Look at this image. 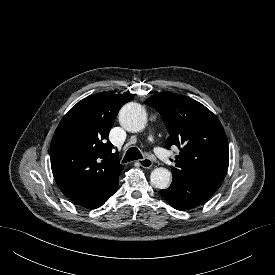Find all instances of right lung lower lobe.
Instances as JSON below:
<instances>
[{"label": "right lung lower lobe", "instance_id": "98d812e1", "mask_svg": "<svg viewBox=\"0 0 275 275\" xmlns=\"http://www.w3.org/2000/svg\"><path fill=\"white\" fill-rule=\"evenodd\" d=\"M118 177L108 186H104L87 193L72 196L70 197V199L82 207L96 209L102 206L106 202V200L117 191Z\"/></svg>", "mask_w": 275, "mask_h": 275}]
</instances>
